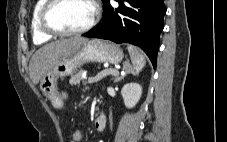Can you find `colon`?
Masks as SVG:
<instances>
[{"instance_id": "colon-1", "label": "colon", "mask_w": 227, "mask_h": 142, "mask_svg": "<svg viewBox=\"0 0 227 142\" xmlns=\"http://www.w3.org/2000/svg\"><path fill=\"white\" fill-rule=\"evenodd\" d=\"M83 132L80 128H75L71 133L69 142H82Z\"/></svg>"}]
</instances>
